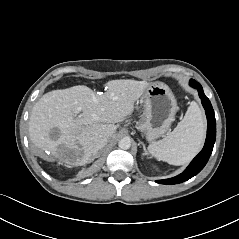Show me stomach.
I'll use <instances>...</instances> for the list:
<instances>
[{
	"mask_svg": "<svg viewBox=\"0 0 239 239\" xmlns=\"http://www.w3.org/2000/svg\"><path fill=\"white\" fill-rule=\"evenodd\" d=\"M143 98L144 113L137 128L148 141H153L169 130L178 107L171 89L161 82L150 84Z\"/></svg>",
	"mask_w": 239,
	"mask_h": 239,
	"instance_id": "obj_1",
	"label": "stomach"
}]
</instances>
